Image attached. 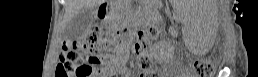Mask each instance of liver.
<instances>
[{
  "label": "liver",
  "mask_w": 258,
  "mask_h": 77,
  "mask_svg": "<svg viewBox=\"0 0 258 77\" xmlns=\"http://www.w3.org/2000/svg\"><path fill=\"white\" fill-rule=\"evenodd\" d=\"M105 0H65L64 26L70 22L75 14L84 8H93L102 4Z\"/></svg>",
  "instance_id": "6515ba94"
}]
</instances>
